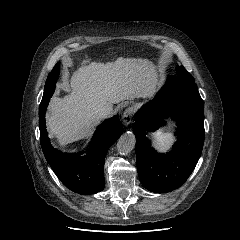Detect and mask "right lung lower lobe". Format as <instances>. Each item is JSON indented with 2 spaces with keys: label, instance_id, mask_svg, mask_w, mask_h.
Here are the masks:
<instances>
[{
  "label": "right lung lower lobe",
  "instance_id": "98d812e1",
  "mask_svg": "<svg viewBox=\"0 0 240 240\" xmlns=\"http://www.w3.org/2000/svg\"><path fill=\"white\" fill-rule=\"evenodd\" d=\"M48 104L39 110L40 143L44 156L60 181L79 194H95L105 187L104 162L109 147L121 136L123 126L117 116L98 126L92 138L88 155H67L52 147L45 124Z\"/></svg>",
  "mask_w": 240,
  "mask_h": 240
}]
</instances>
